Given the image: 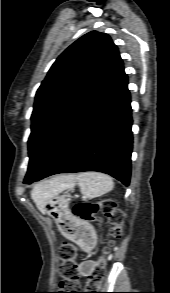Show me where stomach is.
I'll return each mask as SVG.
<instances>
[{"label":"stomach","mask_w":170,"mask_h":293,"mask_svg":"<svg viewBox=\"0 0 170 293\" xmlns=\"http://www.w3.org/2000/svg\"><path fill=\"white\" fill-rule=\"evenodd\" d=\"M44 211L49 216L54 218L59 226L63 223H66L67 220H70L72 218L69 210L68 200L64 195H61L60 192L47 199L44 206ZM64 231L66 235L72 240L81 242L86 245L84 239L80 236L79 232H68L67 230ZM84 231L90 233L92 237L94 236L93 230L90 226H85Z\"/></svg>","instance_id":"obj_1"}]
</instances>
